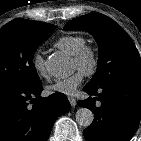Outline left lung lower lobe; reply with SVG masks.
<instances>
[{
	"instance_id": "obj_1",
	"label": "left lung lower lobe",
	"mask_w": 141,
	"mask_h": 141,
	"mask_svg": "<svg viewBox=\"0 0 141 141\" xmlns=\"http://www.w3.org/2000/svg\"><path fill=\"white\" fill-rule=\"evenodd\" d=\"M84 91L97 96L77 102L94 114L92 124L84 130L86 140L130 141L140 122L141 83L122 81L96 89L85 86ZM96 100L102 103L100 107L95 106Z\"/></svg>"
}]
</instances>
